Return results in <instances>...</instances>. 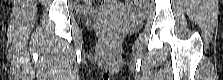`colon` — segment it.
Returning a JSON list of instances; mask_svg holds the SVG:
<instances>
[{
    "instance_id": "obj_1",
    "label": "colon",
    "mask_w": 223,
    "mask_h": 80,
    "mask_svg": "<svg viewBox=\"0 0 223 80\" xmlns=\"http://www.w3.org/2000/svg\"><path fill=\"white\" fill-rule=\"evenodd\" d=\"M146 3L145 0H129L127 1L128 6L132 9V10H137L140 9L142 6H144ZM106 37L108 40L111 39V35L110 34H106Z\"/></svg>"
}]
</instances>
